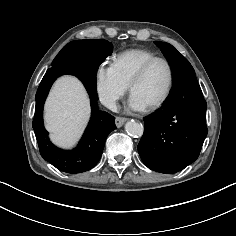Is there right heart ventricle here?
<instances>
[{
  "instance_id": "1",
  "label": "right heart ventricle",
  "mask_w": 236,
  "mask_h": 236,
  "mask_svg": "<svg viewBox=\"0 0 236 236\" xmlns=\"http://www.w3.org/2000/svg\"><path fill=\"white\" fill-rule=\"evenodd\" d=\"M155 57H157L156 54L147 49H127L113 57L112 66L119 78L129 86L141 66Z\"/></svg>"
}]
</instances>
